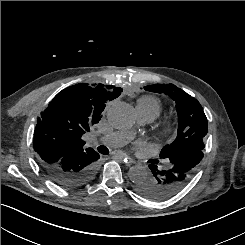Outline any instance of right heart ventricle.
<instances>
[{
  "instance_id": "obj_1",
  "label": "right heart ventricle",
  "mask_w": 245,
  "mask_h": 245,
  "mask_svg": "<svg viewBox=\"0 0 245 245\" xmlns=\"http://www.w3.org/2000/svg\"><path fill=\"white\" fill-rule=\"evenodd\" d=\"M138 108L153 113L157 117L162 109V103L160 99L152 95H145L138 99Z\"/></svg>"
}]
</instances>
